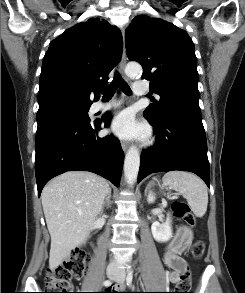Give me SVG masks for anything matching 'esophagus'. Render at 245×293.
Segmentation results:
<instances>
[{
	"instance_id": "obj_1",
	"label": "esophagus",
	"mask_w": 245,
	"mask_h": 293,
	"mask_svg": "<svg viewBox=\"0 0 245 293\" xmlns=\"http://www.w3.org/2000/svg\"><path fill=\"white\" fill-rule=\"evenodd\" d=\"M122 31V39H123V48H122V57H121V61L119 63V70L121 75L123 76V78L128 81L129 79L125 76L124 74V68L126 65V47H125V34H124V28L121 29ZM122 149L123 151H126L129 147V144L127 142H122L121 143Z\"/></svg>"
}]
</instances>
